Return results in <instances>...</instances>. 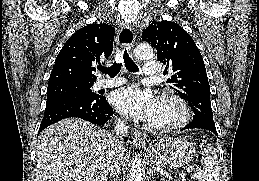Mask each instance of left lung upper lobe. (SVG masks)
<instances>
[{"label": "left lung upper lobe", "instance_id": "obj_1", "mask_svg": "<svg viewBox=\"0 0 259 181\" xmlns=\"http://www.w3.org/2000/svg\"><path fill=\"white\" fill-rule=\"evenodd\" d=\"M142 40L157 49L158 61L166 65L167 80L191 106L193 122L215 126L210 104V87L205 64L192 37L171 21H153L142 33Z\"/></svg>", "mask_w": 259, "mask_h": 181}]
</instances>
